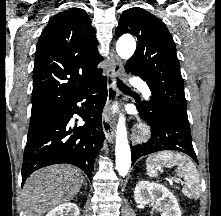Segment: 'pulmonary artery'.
<instances>
[{
  "instance_id": "obj_1",
  "label": "pulmonary artery",
  "mask_w": 221,
  "mask_h": 216,
  "mask_svg": "<svg viewBox=\"0 0 221 216\" xmlns=\"http://www.w3.org/2000/svg\"><path fill=\"white\" fill-rule=\"evenodd\" d=\"M132 85L136 88H139L143 91L144 96L148 99L151 96L150 89L146 86V84L140 79H133Z\"/></svg>"
}]
</instances>
